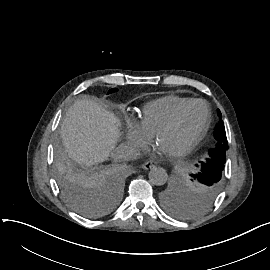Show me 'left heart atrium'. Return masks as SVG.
Here are the masks:
<instances>
[{
	"label": "left heart atrium",
	"mask_w": 270,
	"mask_h": 270,
	"mask_svg": "<svg viewBox=\"0 0 270 270\" xmlns=\"http://www.w3.org/2000/svg\"><path fill=\"white\" fill-rule=\"evenodd\" d=\"M175 153V150L169 145L158 141L152 145V147L147 150L146 156L153 160L161 159L167 156H171Z\"/></svg>",
	"instance_id": "1"
}]
</instances>
